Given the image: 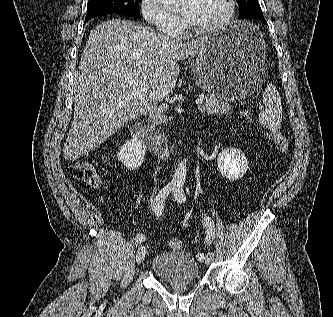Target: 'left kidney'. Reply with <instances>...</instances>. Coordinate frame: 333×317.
Instances as JSON below:
<instances>
[{
    "label": "left kidney",
    "instance_id": "obj_1",
    "mask_svg": "<svg viewBox=\"0 0 333 317\" xmlns=\"http://www.w3.org/2000/svg\"><path fill=\"white\" fill-rule=\"evenodd\" d=\"M220 173L229 180H238L248 170V160L244 153L237 148L223 150L217 158Z\"/></svg>",
    "mask_w": 333,
    "mask_h": 317
}]
</instances>
